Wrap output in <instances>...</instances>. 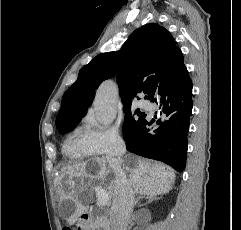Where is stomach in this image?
I'll use <instances>...</instances> for the list:
<instances>
[{"instance_id":"obj_1","label":"stomach","mask_w":241,"mask_h":230,"mask_svg":"<svg viewBox=\"0 0 241 230\" xmlns=\"http://www.w3.org/2000/svg\"><path fill=\"white\" fill-rule=\"evenodd\" d=\"M89 225L81 220L77 223V230H89Z\"/></svg>"}]
</instances>
